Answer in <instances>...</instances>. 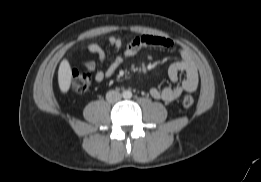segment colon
I'll use <instances>...</instances> for the list:
<instances>
[{"mask_svg": "<svg viewBox=\"0 0 261 182\" xmlns=\"http://www.w3.org/2000/svg\"><path fill=\"white\" fill-rule=\"evenodd\" d=\"M91 77L87 73L73 72L71 79V88L79 93H87L90 90ZM194 103V98L187 95L183 98V105L190 107Z\"/></svg>", "mask_w": 261, "mask_h": 182, "instance_id": "colon-1", "label": "colon"}]
</instances>
